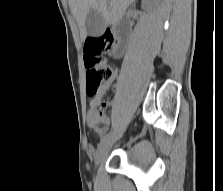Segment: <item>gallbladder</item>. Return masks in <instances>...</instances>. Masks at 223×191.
Masks as SVG:
<instances>
[{
    "label": "gallbladder",
    "instance_id": "gallbladder-1",
    "mask_svg": "<svg viewBox=\"0 0 223 191\" xmlns=\"http://www.w3.org/2000/svg\"><path fill=\"white\" fill-rule=\"evenodd\" d=\"M85 28L89 36H100L106 28V22L102 14L94 9L90 10L85 20Z\"/></svg>",
    "mask_w": 223,
    "mask_h": 191
}]
</instances>
